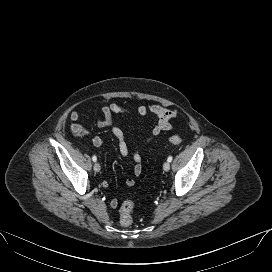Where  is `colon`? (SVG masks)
Returning a JSON list of instances; mask_svg holds the SVG:
<instances>
[{"label": "colon", "mask_w": 272, "mask_h": 272, "mask_svg": "<svg viewBox=\"0 0 272 272\" xmlns=\"http://www.w3.org/2000/svg\"><path fill=\"white\" fill-rule=\"evenodd\" d=\"M72 130L75 135L80 136L83 134V128L79 125H74ZM179 136H172L169 138L171 144L177 145L181 143ZM134 209V203L131 200L124 201L120 207V223L121 225L128 227L132 224V211Z\"/></svg>", "instance_id": "colon-1"}]
</instances>
